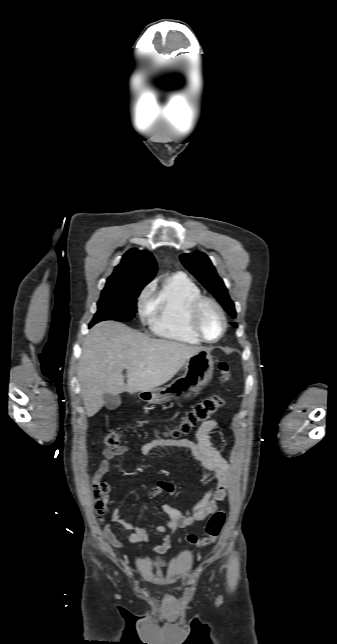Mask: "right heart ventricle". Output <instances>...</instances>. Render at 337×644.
Returning <instances> with one entry per match:
<instances>
[{
	"mask_svg": "<svg viewBox=\"0 0 337 644\" xmlns=\"http://www.w3.org/2000/svg\"><path fill=\"white\" fill-rule=\"evenodd\" d=\"M202 295L200 287L189 276L178 272L167 277L150 302V327L165 339L188 345L201 340L189 326V311L195 299Z\"/></svg>",
	"mask_w": 337,
	"mask_h": 644,
	"instance_id": "right-heart-ventricle-1",
	"label": "right heart ventricle"
}]
</instances>
